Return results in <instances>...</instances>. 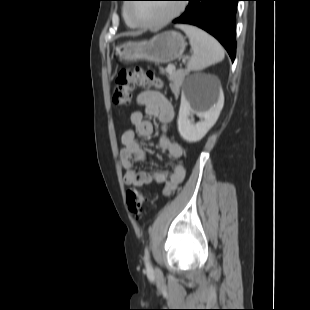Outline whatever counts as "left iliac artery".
Masks as SVG:
<instances>
[{"label":"left iliac artery","instance_id":"1","mask_svg":"<svg viewBox=\"0 0 310 310\" xmlns=\"http://www.w3.org/2000/svg\"><path fill=\"white\" fill-rule=\"evenodd\" d=\"M144 261H145V266H146L147 271H151L152 270V265H151L150 253H149L148 249L145 251Z\"/></svg>","mask_w":310,"mask_h":310}]
</instances>
